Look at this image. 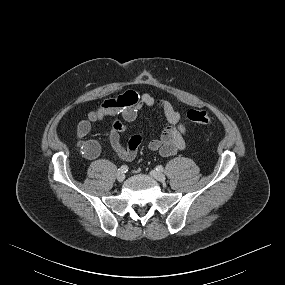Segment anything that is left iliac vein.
Here are the masks:
<instances>
[{
    "instance_id": "obj_1",
    "label": "left iliac vein",
    "mask_w": 285,
    "mask_h": 285,
    "mask_svg": "<svg viewBox=\"0 0 285 285\" xmlns=\"http://www.w3.org/2000/svg\"><path fill=\"white\" fill-rule=\"evenodd\" d=\"M150 175H151V177H153L154 179H156L159 182H164L166 180L165 175L161 172L156 171V170H151Z\"/></svg>"
}]
</instances>
